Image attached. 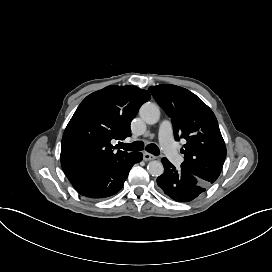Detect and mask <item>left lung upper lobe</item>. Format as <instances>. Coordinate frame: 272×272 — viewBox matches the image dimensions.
Returning a JSON list of instances; mask_svg holds the SVG:
<instances>
[{"mask_svg":"<svg viewBox=\"0 0 272 272\" xmlns=\"http://www.w3.org/2000/svg\"><path fill=\"white\" fill-rule=\"evenodd\" d=\"M171 117L175 140L184 138L185 160L181 169L212 184L219 177L226 158V146L212 110L189 90L161 84L149 88Z\"/></svg>","mask_w":272,"mask_h":272,"instance_id":"obj_1","label":"left lung upper lobe"}]
</instances>
